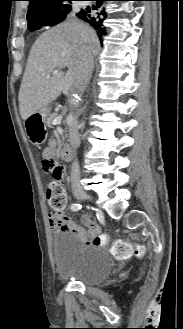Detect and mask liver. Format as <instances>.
<instances>
[{"label":"liver","mask_w":183,"mask_h":329,"mask_svg":"<svg viewBox=\"0 0 183 329\" xmlns=\"http://www.w3.org/2000/svg\"><path fill=\"white\" fill-rule=\"evenodd\" d=\"M99 50L96 31L82 21L67 20L42 33L32 46L19 90L22 119H28L72 85L78 87L81 56L88 52L93 57ZM63 67H68L65 75L62 71L50 75Z\"/></svg>","instance_id":"1"}]
</instances>
